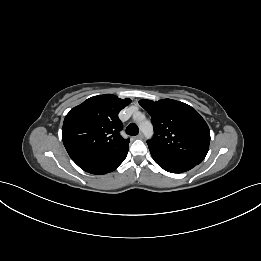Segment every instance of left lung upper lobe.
Instances as JSON below:
<instances>
[{
  "mask_svg": "<svg viewBox=\"0 0 261 261\" xmlns=\"http://www.w3.org/2000/svg\"><path fill=\"white\" fill-rule=\"evenodd\" d=\"M139 104L151 115L154 126L155 135L147 142L149 148L197 164L203 161L209 149L210 131L194 108L172 99H144Z\"/></svg>",
  "mask_w": 261,
  "mask_h": 261,
  "instance_id": "1",
  "label": "left lung upper lobe"
}]
</instances>
